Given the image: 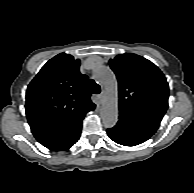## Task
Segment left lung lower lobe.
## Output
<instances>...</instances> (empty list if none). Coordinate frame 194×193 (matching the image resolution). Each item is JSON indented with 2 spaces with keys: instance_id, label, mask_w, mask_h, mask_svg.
<instances>
[{
  "instance_id": "0a47b994",
  "label": "left lung lower lobe",
  "mask_w": 194,
  "mask_h": 193,
  "mask_svg": "<svg viewBox=\"0 0 194 193\" xmlns=\"http://www.w3.org/2000/svg\"><path fill=\"white\" fill-rule=\"evenodd\" d=\"M158 127L142 119L120 113L116 126L107 129V133L118 144L135 146L148 140Z\"/></svg>"
}]
</instances>
